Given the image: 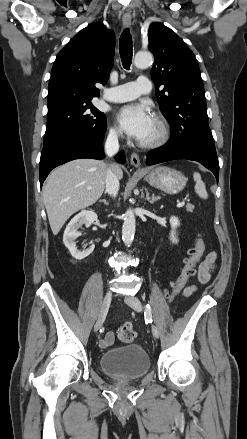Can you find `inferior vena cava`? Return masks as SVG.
<instances>
[{"label": "inferior vena cava", "instance_id": "1", "mask_svg": "<svg viewBox=\"0 0 247 439\" xmlns=\"http://www.w3.org/2000/svg\"><path fill=\"white\" fill-rule=\"evenodd\" d=\"M119 151L118 135L115 131H110L105 143V152L108 156H113ZM115 164H111L106 173V192L115 197L119 191V179L116 174Z\"/></svg>", "mask_w": 247, "mask_h": 439}]
</instances>
